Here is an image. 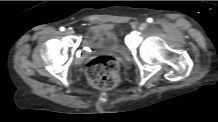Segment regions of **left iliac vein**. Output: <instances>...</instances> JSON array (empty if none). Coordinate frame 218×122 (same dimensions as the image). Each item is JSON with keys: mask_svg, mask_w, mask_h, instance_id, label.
I'll list each match as a JSON object with an SVG mask.
<instances>
[{"mask_svg": "<svg viewBox=\"0 0 218 122\" xmlns=\"http://www.w3.org/2000/svg\"><path fill=\"white\" fill-rule=\"evenodd\" d=\"M147 26H148V24L146 22H144V23L140 24L139 29L142 31V30L146 29Z\"/></svg>", "mask_w": 218, "mask_h": 122, "instance_id": "1", "label": "left iliac vein"}]
</instances>
